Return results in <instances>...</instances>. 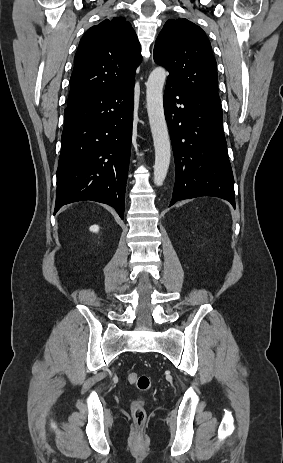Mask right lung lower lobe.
<instances>
[{"mask_svg":"<svg viewBox=\"0 0 283 463\" xmlns=\"http://www.w3.org/2000/svg\"><path fill=\"white\" fill-rule=\"evenodd\" d=\"M133 106L134 81L67 105L54 214L65 204L93 200L123 219Z\"/></svg>","mask_w":283,"mask_h":463,"instance_id":"obj_1","label":"right lung lower lobe"}]
</instances>
